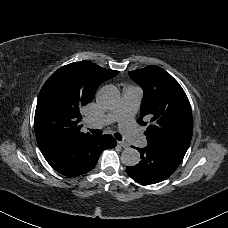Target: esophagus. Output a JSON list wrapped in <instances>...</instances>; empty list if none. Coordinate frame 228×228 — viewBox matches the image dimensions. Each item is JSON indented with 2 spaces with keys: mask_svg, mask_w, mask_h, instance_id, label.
Wrapping results in <instances>:
<instances>
[{
  "mask_svg": "<svg viewBox=\"0 0 228 228\" xmlns=\"http://www.w3.org/2000/svg\"><path fill=\"white\" fill-rule=\"evenodd\" d=\"M117 144H118L120 147H123V148H127V147H128V144L125 143V142H122V141H118Z\"/></svg>",
  "mask_w": 228,
  "mask_h": 228,
  "instance_id": "1",
  "label": "esophagus"
}]
</instances>
